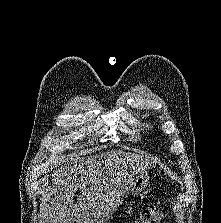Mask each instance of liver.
<instances>
[{
    "label": "liver",
    "instance_id": "6515ba94",
    "mask_svg": "<svg viewBox=\"0 0 221 223\" xmlns=\"http://www.w3.org/2000/svg\"><path fill=\"white\" fill-rule=\"evenodd\" d=\"M148 162L143 154L120 150L61 158L52 174L53 188L45 199L43 223H105Z\"/></svg>",
    "mask_w": 221,
    "mask_h": 223
}]
</instances>
